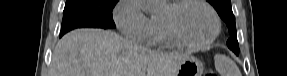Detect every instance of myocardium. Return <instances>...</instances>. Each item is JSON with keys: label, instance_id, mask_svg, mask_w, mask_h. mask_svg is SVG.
I'll return each instance as SVG.
<instances>
[{"label": "myocardium", "instance_id": "1", "mask_svg": "<svg viewBox=\"0 0 287 76\" xmlns=\"http://www.w3.org/2000/svg\"><path fill=\"white\" fill-rule=\"evenodd\" d=\"M188 4H198L206 8L211 14L214 22V29L212 34L203 42L193 43L186 40L181 34L177 23L176 17L178 12ZM165 25L169 35L172 40L179 46L189 48V49H204L209 47L219 36L221 31V21L216 10L206 1L204 0H178L174 1L165 11L164 13Z\"/></svg>", "mask_w": 287, "mask_h": 76}]
</instances>
